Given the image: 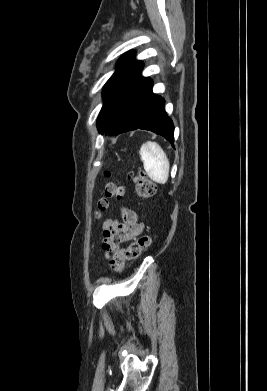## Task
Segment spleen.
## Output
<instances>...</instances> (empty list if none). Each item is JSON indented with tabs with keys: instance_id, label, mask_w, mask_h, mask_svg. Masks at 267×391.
<instances>
[{
	"instance_id": "obj_1",
	"label": "spleen",
	"mask_w": 267,
	"mask_h": 391,
	"mask_svg": "<svg viewBox=\"0 0 267 391\" xmlns=\"http://www.w3.org/2000/svg\"><path fill=\"white\" fill-rule=\"evenodd\" d=\"M144 169L151 180L165 184L169 178V160L159 144L147 141L140 148Z\"/></svg>"
}]
</instances>
